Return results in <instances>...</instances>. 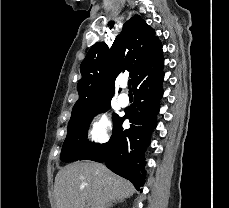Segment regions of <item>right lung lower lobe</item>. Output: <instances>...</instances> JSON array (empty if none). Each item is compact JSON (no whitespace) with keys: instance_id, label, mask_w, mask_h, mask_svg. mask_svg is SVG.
I'll use <instances>...</instances> for the list:
<instances>
[{"instance_id":"98d812e1","label":"right lung lower lobe","mask_w":229,"mask_h":208,"mask_svg":"<svg viewBox=\"0 0 229 208\" xmlns=\"http://www.w3.org/2000/svg\"><path fill=\"white\" fill-rule=\"evenodd\" d=\"M162 68L163 66L133 89L134 103L125 109V116L114 126L110 140L105 144H96L79 158L105 162L110 170L130 180L141 192L146 164L144 152L150 144L151 133L157 126L159 101L163 95ZM125 119H129L131 123L128 130L122 128Z\"/></svg>"}]
</instances>
